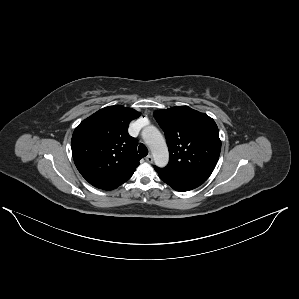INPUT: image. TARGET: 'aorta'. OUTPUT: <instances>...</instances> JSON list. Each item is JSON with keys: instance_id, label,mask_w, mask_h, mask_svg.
I'll use <instances>...</instances> for the list:
<instances>
[{"instance_id": "aorta-1", "label": "aorta", "mask_w": 299, "mask_h": 299, "mask_svg": "<svg viewBox=\"0 0 299 299\" xmlns=\"http://www.w3.org/2000/svg\"><path fill=\"white\" fill-rule=\"evenodd\" d=\"M142 136L153 154L155 164L158 167H165L169 161V153L160 131L154 126H148L144 128Z\"/></svg>"}]
</instances>
